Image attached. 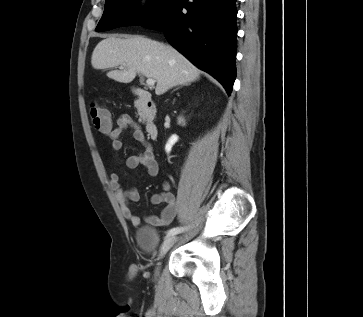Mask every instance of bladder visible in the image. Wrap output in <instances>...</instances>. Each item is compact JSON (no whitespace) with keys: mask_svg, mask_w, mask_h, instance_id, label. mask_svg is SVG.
<instances>
[{"mask_svg":"<svg viewBox=\"0 0 363 317\" xmlns=\"http://www.w3.org/2000/svg\"><path fill=\"white\" fill-rule=\"evenodd\" d=\"M139 247L147 254H152L157 246L159 235L157 231L149 226L141 227L136 232Z\"/></svg>","mask_w":363,"mask_h":317,"instance_id":"obj_1","label":"bladder"}]
</instances>
